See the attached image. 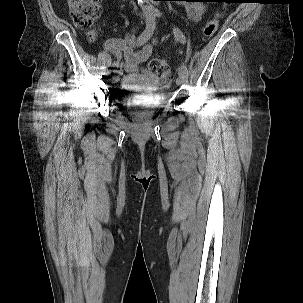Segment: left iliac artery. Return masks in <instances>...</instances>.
I'll return each instance as SVG.
<instances>
[{"label": "left iliac artery", "instance_id": "1", "mask_svg": "<svg viewBox=\"0 0 303 303\" xmlns=\"http://www.w3.org/2000/svg\"><path fill=\"white\" fill-rule=\"evenodd\" d=\"M144 10H145V13L148 15H152V16H156V17L162 16V13L160 12V10L155 8L153 5H151L148 2H144ZM173 33H174L176 40L180 41L183 44L186 42L185 36L183 35V33L181 32V30L179 28L174 27ZM181 69L187 74V76L189 75V71H188L186 64L183 63L181 65Z\"/></svg>", "mask_w": 303, "mask_h": 303}]
</instances>
